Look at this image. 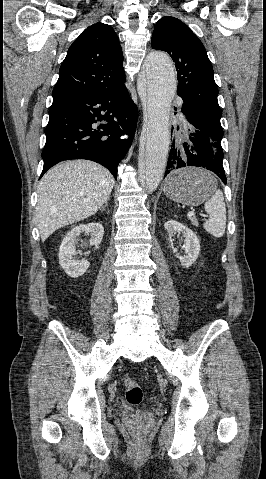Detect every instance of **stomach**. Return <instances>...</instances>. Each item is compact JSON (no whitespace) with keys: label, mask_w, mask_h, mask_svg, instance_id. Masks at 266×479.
I'll return each mask as SVG.
<instances>
[{"label":"stomach","mask_w":266,"mask_h":479,"mask_svg":"<svg viewBox=\"0 0 266 479\" xmlns=\"http://www.w3.org/2000/svg\"><path fill=\"white\" fill-rule=\"evenodd\" d=\"M216 179L208 171L186 167L173 171L164 182V194L171 200L198 206L216 191Z\"/></svg>","instance_id":"0dacf381"}]
</instances>
